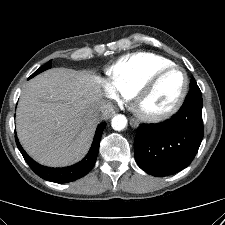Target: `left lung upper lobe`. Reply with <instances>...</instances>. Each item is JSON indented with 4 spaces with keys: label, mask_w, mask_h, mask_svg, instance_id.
<instances>
[{
    "label": "left lung upper lobe",
    "mask_w": 225,
    "mask_h": 225,
    "mask_svg": "<svg viewBox=\"0 0 225 225\" xmlns=\"http://www.w3.org/2000/svg\"><path fill=\"white\" fill-rule=\"evenodd\" d=\"M189 92L201 93L194 78L190 82V91Z\"/></svg>",
    "instance_id": "obj_1"
}]
</instances>
